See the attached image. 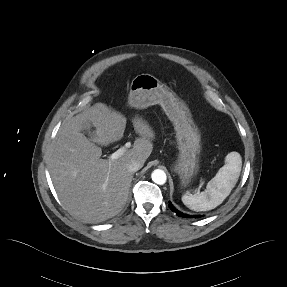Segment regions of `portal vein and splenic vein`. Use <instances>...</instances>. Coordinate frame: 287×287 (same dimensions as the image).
<instances>
[{"instance_id":"18ae733b","label":"portal vein and splenic vein","mask_w":287,"mask_h":287,"mask_svg":"<svg viewBox=\"0 0 287 287\" xmlns=\"http://www.w3.org/2000/svg\"><path fill=\"white\" fill-rule=\"evenodd\" d=\"M131 146V143L130 142H127L124 146H122L121 148H119L117 151H115L114 153H112L110 156H109V160L113 161V160H116L118 159L119 157H121L126 151L128 148H130Z\"/></svg>"}]
</instances>
